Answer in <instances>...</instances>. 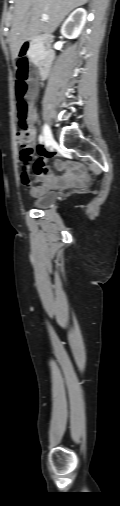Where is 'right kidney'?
Instances as JSON below:
<instances>
[{"instance_id": "right-kidney-1", "label": "right kidney", "mask_w": 120, "mask_h": 506, "mask_svg": "<svg viewBox=\"0 0 120 506\" xmlns=\"http://www.w3.org/2000/svg\"><path fill=\"white\" fill-rule=\"evenodd\" d=\"M87 12L83 8L74 10L64 22L61 33L66 38H77L86 22Z\"/></svg>"}]
</instances>
